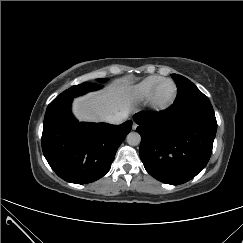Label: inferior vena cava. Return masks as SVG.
I'll return each mask as SVG.
<instances>
[{"instance_id": "obj_1", "label": "inferior vena cava", "mask_w": 243, "mask_h": 243, "mask_svg": "<svg viewBox=\"0 0 243 243\" xmlns=\"http://www.w3.org/2000/svg\"><path fill=\"white\" fill-rule=\"evenodd\" d=\"M128 117V114L126 112H118L113 115H108L105 118V121L110 124H121L123 123Z\"/></svg>"}]
</instances>
